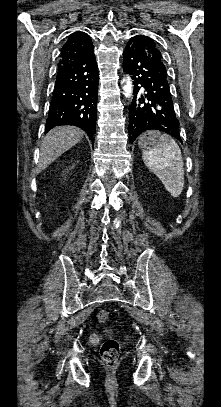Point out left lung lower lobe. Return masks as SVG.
<instances>
[{"label": "left lung lower lobe", "instance_id": "left-lung-lower-lobe-1", "mask_svg": "<svg viewBox=\"0 0 221 407\" xmlns=\"http://www.w3.org/2000/svg\"><path fill=\"white\" fill-rule=\"evenodd\" d=\"M123 57L124 69L134 84L129 106V141L146 130H159L182 142L166 69L151 59L137 36L129 40Z\"/></svg>", "mask_w": 221, "mask_h": 407}]
</instances>
